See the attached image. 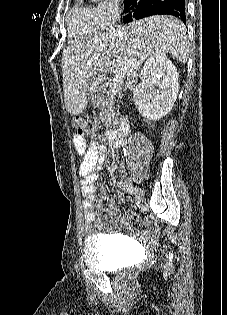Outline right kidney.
<instances>
[{"mask_svg": "<svg viewBox=\"0 0 227 315\" xmlns=\"http://www.w3.org/2000/svg\"><path fill=\"white\" fill-rule=\"evenodd\" d=\"M141 79L133 94L134 103L142 117L159 120L171 111L177 99V69L166 54L159 51L145 62Z\"/></svg>", "mask_w": 227, "mask_h": 315, "instance_id": "obj_1", "label": "right kidney"}]
</instances>
